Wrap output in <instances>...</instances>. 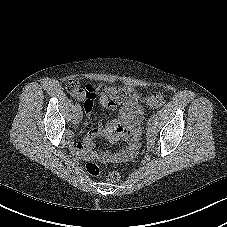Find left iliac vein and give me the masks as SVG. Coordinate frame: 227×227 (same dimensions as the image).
I'll return each mask as SVG.
<instances>
[{
	"mask_svg": "<svg viewBox=\"0 0 227 227\" xmlns=\"http://www.w3.org/2000/svg\"><path fill=\"white\" fill-rule=\"evenodd\" d=\"M147 134L150 137H153L155 135V127H154L153 123L148 124V126H147Z\"/></svg>",
	"mask_w": 227,
	"mask_h": 227,
	"instance_id": "1",
	"label": "left iliac vein"
}]
</instances>
